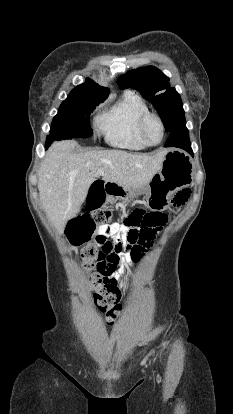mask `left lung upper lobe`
<instances>
[{
  "label": "left lung upper lobe",
  "instance_id": "5c2ea615",
  "mask_svg": "<svg viewBox=\"0 0 233 414\" xmlns=\"http://www.w3.org/2000/svg\"><path fill=\"white\" fill-rule=\"evenodd\" d=\"M169 78L154 66H147L128 72L119 77L121 89L134 88L152 102L159 113L166 131L184 117L181 97L175 88L170 87Z\"/></svg>",
  "mask_w": 233,
  "mask_h": 414
}]
</instances>
